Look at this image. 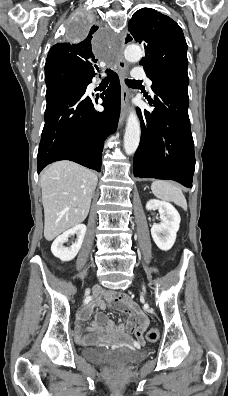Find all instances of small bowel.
Masks as SVG:
<instances>
[{
	"label": "small bowel",
	"mask_w": 228,
	"mask_h": 396,
	"mask_svg": "<svg viewBox=\"0 0 228 396\" xmlns=\"http://www.w3.org/2000/svg\"><path fill=\"white\" fill-rule=\"evenodd\" d=\"M107 305L116 310L128 312L129 317L127 321L125 323L115 324L113 320L106 317L105 313L98 312L95 321L89 328L90 333L85 334L82 322L90 316L94 308L104 309ZM147 327L148 319L146 315L125 294L100 292L95 299L79 313L78 323L76 325V339L79 342H87L102 335L117 339H128L133 335L139 341H142L143 333Z\"/></svg>",
	"instance_id": "c3829d8e"
}]
</instances>
